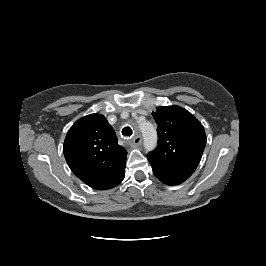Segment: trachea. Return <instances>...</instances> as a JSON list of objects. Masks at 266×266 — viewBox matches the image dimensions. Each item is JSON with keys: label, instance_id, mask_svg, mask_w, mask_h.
<instances>
[{"label": "trachea", "instance_id": "3493384b", "mask_svg": "<svg viewBox=\"0 0 266 266\" xmlns=\"http://www.w3.org/2000/svg\"><path fill=\"white\" fill-rule=\"evenodd\" d=\"M133 134L132 129L129 126H126L122 129V135L129 137Z\"/></svg>", "mask_w": 266, "mask_h": 266}]
</instances>
